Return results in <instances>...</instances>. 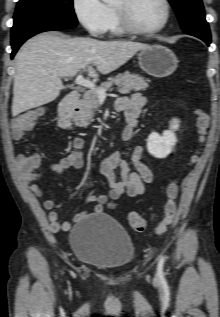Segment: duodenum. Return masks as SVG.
Masks as SVG:
<instances>
[{"instance_id":"duodenum-1","label":"duodenum","mask_w":220,"mask_h":317,"mask_svg":"<svg viewBox=\"0 0 220 317\" xmlns=\"http://www.w3.org/2000/svg\"><path fill=\"white\" fill-rule=\"evenodd\" d=\"M80 97V91L73 90L60 102L58 107V126L60 128L70 130L74 127L73 117L77 110Z\"/></svg>"}]
</instances>
